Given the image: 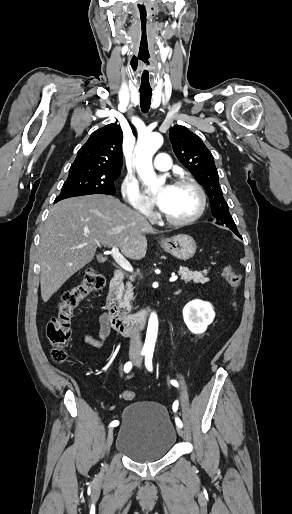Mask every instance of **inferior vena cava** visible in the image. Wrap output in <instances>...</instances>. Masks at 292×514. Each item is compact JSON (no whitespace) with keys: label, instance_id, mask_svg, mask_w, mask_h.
I'll list each match as a JSON object with an SVG mask.
<instances>
[{"label":"inferior vena cava","instance_id":"obj_1","mask_svg":"<svg viewBox=\"0 0 292 514\" xmlns=\"http://www.w3.org/2000/svg\"><path fill=\"white\" fill-rule=\"evenodd\" d=\"M130 354H135V356H140L142 350V342L140 338L139 332L135 330L134 334L131 336L130 340Z\"/></svg>","mask_w":292,"mask_h":514}]
</instances>
